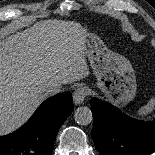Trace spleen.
<instances>
[{"label": "spleen", "instance_id": "spleen-1", "mask_svg": "<svg viewBox=\"0 0 155 155\" xmlns=\"http://www.w3.org/2000/svg\"><path fill=\"white\" fill-rule=\"evenodd\" d=\"M155 109V98H151L149 102L142 106L137 112L136 116L146 117Z\"/></svg>", "mask_w": 155, "mask_h": 155}]
</instances>
